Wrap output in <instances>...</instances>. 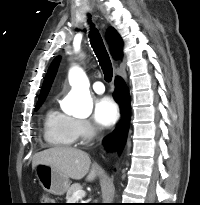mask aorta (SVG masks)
<instances>
[{"mask_svg": "<svg viewBox=\"0 0 200 205\" xmlns=\"http://www.w3.org/2000/svg\"><path fill=\"white\" fill-rule=\"evenodd\" d=\"M69 81L72 86L70 111L77 117H88L93 108L89 93V80L84 71L75 66L70 70Z\"/></svg>", "mask_w": 200, "mask_h": 205, "instance_id": "obj_1", "label": "aorta"}]
</instances>
